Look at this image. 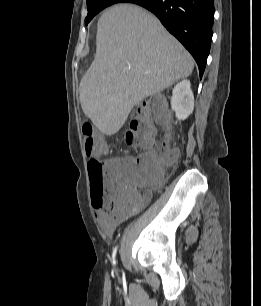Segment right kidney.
<instances>
[{
  "instance_id": "obj_1",
  "label": "right kidney",
  "mask_w": 261,
  "mask_h": 306,
  "mask_svg": "<svg viewBox=\"0 0 261 306\" xmlns=\"http://www.w3.org/2000/svg\"><path fill=\"white\" fill-rule=\"evenodd\" d=\"M171 107L179 120L186 119L194 109V96L189 80L179 82L172 91Z\"/></svg>"
}]
</instances>
